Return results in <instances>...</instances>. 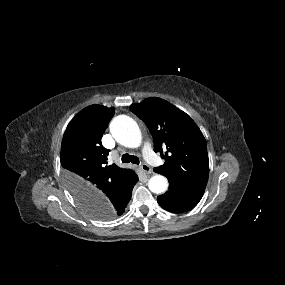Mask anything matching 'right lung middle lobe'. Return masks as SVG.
I'll use <instances>...</instances> for the list:
<instances>
[{"label":"right lung middle lobe","mask_w":285,"mask_h":285,"mask_svg":"<svg viewBox=\"0 0 285 285\" xmlns=\"http://www.w3.org/2000/svg\"><path fill=\"white\" fill-rule=\"evenodd\" d=\"M68 183V182H67ZM69 185V184H68ZM70 188V187H69ZM71 190V189H70ZM81 205V204H80ZM84 210L90 214L91 216L101 219V220H110L117 215H114L108 208L101 207V208H94L90 206L81 205Z\"/></svg>","instance_id":"right-lung-middle-lobe-1"}]
</instances>
